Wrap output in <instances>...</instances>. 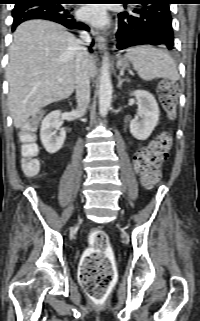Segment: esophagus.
<instances>
[{
	"label": "esophagus",
	"instance_id": "obj_1",
	"mask_svg": "<svg viewBox=\"0 0 200 321\" xmlns=\"http://www.w3.org/2000/svg\"><path fill=\"white\" fill-rule=\"evenodd\" d=\"M93 34L95 36V40L97 43V47L100 51H103L106 46V40L103 35H101L98 31H93Z\"/></svg>",
	"mask_w": 200,
	"mask_h": 321
}]
</instances>
